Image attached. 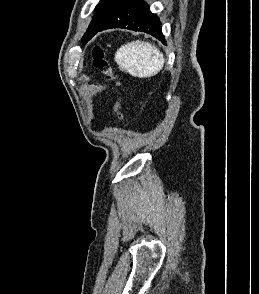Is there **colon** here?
I'll use <instances>...</instances> for the list:
<instances>
[{"label": "colon", "mask_w": 259, "mask_h": 294, "mask_svg": "<svg viewBox=\"0 0 259 294\" xmlns=\"http://www.w3.org/2000/svg\"><path fill=\"white\" fill-rule=\"evenodd\" d=\"M93 63L94 66L100 70L108 80L113 81L116 85H119L117 76L115 75L112 66L109 64L108 60L105 57V53L101 47H95L93 50ZM114 113L117 120L122 123L124 120V115L121 108V99H117L114 104Z\"/></svg>", "instance_id": "obj_1"}]
</instances>
